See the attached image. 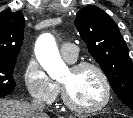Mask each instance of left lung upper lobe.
<instances>
[{
  "label": "left lung upper lobe",
  "mask_w": 133,
  "mask_h": 118,
  "mask_svg": "<svg viewBox=\"0 0 133 118\" xmlns=\"http://www.w3.org/2000/svg\"><path fill=\"white\" fill-rule=\"evenodd\" d=\"M75 26L118 98L133 110V63L118 26L102 9L77 12Z\"/></svg>",
  "instance_id": "1"
}]
</instances>
